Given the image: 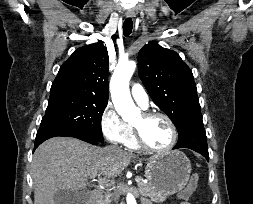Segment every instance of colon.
<instances>
[{
  "label": "colon",
  "instance_id": "obj_1",
  "mask_svg": "<svg viewBox=\"0 0 253 204\" xmlns=\"http://www.w3.org/2000/svg\"><path fill=\"white\" fill-rule=\"evenodd\" d=\"M200 180V176L198 173H193L190 177L188 185L185 187L183 193H182V198L183 199H188L190 195L196 190L198 183Z\"/></svg>",
  "mask_w": 253,
  "mask_h": 204
}]
</instances>
